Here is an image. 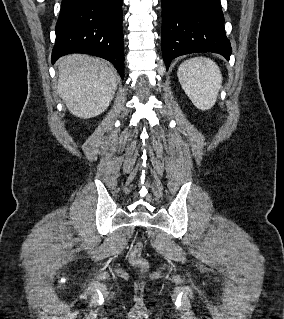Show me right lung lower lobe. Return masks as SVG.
Segmentation results:
<instances>
[{"instance_id":"right-lung-lower-lobe-1","label":"right lung lower lobe","mask_w":284,"mask_h":319,"mask_svg":"<svg viewBox=\"0 0 284 319\" xmlns=\"http://www.w3.org/2000/svg\"><path fill=\"white\" fill-rule=\"evenodd\" d=\"M123 0H62L52 63L70 53L110 61L124 79Z\"/></svg>"}]
</instances>
